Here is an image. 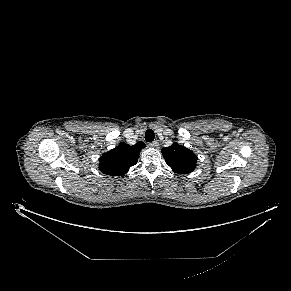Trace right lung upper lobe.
Returning <instances> with one entry per match:
<instances>
[{"label": "right lung upper lobe", "instance_id": "obj_1", "mask_svg": "<svg viewBox=\"0 0 291 291\" xmlns=\"http://www.w3.org/2000/svg\"><path fill=\"white\" fill-rule=\"evenodd\" d=\"M145 147L142 141L135 145L120 143L114 149L104 153L99 159V169L110 176H122L138 161L140 151Z\"/></svg>", "mask_w": 291, "mask_h": 291}]
</instances>
